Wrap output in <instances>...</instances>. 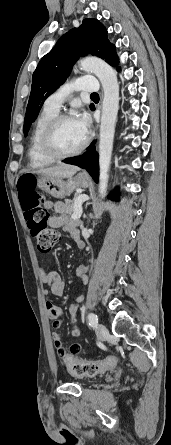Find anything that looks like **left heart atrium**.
<instances>
[{
  "label": "left heart atrium",
  "instance_id": "left-heart-atrium-1",
  "mask_svg": "<svg viewBox=\"0 0 171 445\" xmlns=\"http://www.w3.org/2000/svg\"><path fill=\"white\" fill-rule=\"evenodd\" d=\"M77 121L82 131L87 135L90 129V118L86 113H82L78 116Z\"/></svg>",
  "mask_w": 171,
  "mask_h": 445
}]
</instances>
